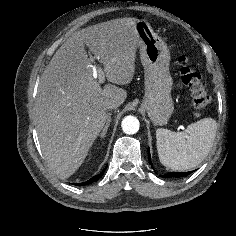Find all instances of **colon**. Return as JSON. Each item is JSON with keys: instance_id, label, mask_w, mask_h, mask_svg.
I'll use <instances>...</instances> for the list:
<instances>
[{"instance_id": "obj_1", "label": "colon", "mask_w": 236, "mask_h": 236, "mask_svg": "<svg viewBox=\"0 0 236 236\" xmlns=\"http://www.w3.org/2000/svg\"><path fill=\"white\" fill-rule=\"evenodd\" d=\"M178 64L181 80L191 92L194 107L198 112L204 111L211 104L212 98L201 74L191 66L187 56H180Z\"/></svg>"}]
</instances>
